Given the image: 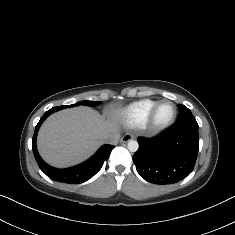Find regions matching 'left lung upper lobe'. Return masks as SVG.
I'll return each mask as SVG.
<instances>
[{"label":"left lung upper lobe","mask_w":235,"mask_h":235,"mask_svg":"<svg viewBox=\"0 0 235 235\" xmlns=\"http://www.w3.org/2000/svg\"><path fill=\"white\" fill-rule=\"evenodd\" d=\"M179 115L176 123H191L197 124L196 119L192 115L191 111L184 105L178 104Z\"/></svg>","instance_id":"obj_1"}]
</instances>
